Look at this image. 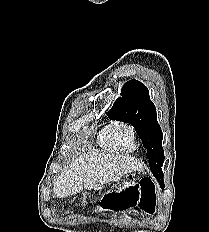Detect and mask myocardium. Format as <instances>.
Here are the masks:
<instances>
[{
	"mask_svg": "<svg viewBox=\"0 0 209 232\" xmlns=\"http://www.w3.org/2000/svg\"><path fill=\"white\" fill-rule=\"evenodd\" d=\"M113 134H114V139H115L116 143L122 148V150L133 151L136 149L137 145H136V141H135V130H134L132 125H130L128 123L117 122L113 126ZM123 134H128L130 136V138L134 144L133 148L126 147V145L124 144V142L122 140Z\"/></svg>",
	"mask_w": 209,
	"mask_h": 232,
	"instance_id": "obj_1",
	"label": "myocardium"
}]
</instances>
